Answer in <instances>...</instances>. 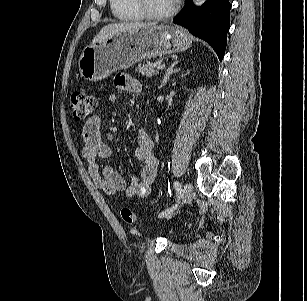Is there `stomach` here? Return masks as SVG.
<instances>
[{"label":"stomach","instance_id":"obj_1","mask_svg":"<svg viewBox=\"0 0 307 301\" xmlns=\"http://www.w3.org/2000/svg\"><path fill=\"white\" fill-rule=\"evenodd\" d=\"M191 44L190 35L178 26L120 31L85 47L78 62L79 72L85 80L96 82L143 59L185 51Z\"/></svg>","mask_w":307,"mask_h":301}]
</instances>
